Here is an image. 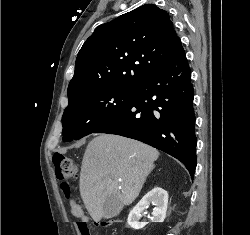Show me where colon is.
Here are the masks:
<instances>
[{
    "label": "colon",
    "instance_id": "1",
    "mask_svg": "<svg viewBox=\"0 0 250 235\" xmlns=\"http://www.w3.org/2000/svg\"><path fill=\"white\" fill-rule=\"evenodd\" d=\"M53 164L55 168L56 178L62 182V189L64 192V198L66 201L71 200L70 188L67 184L68 180L74 179L78 173L77 163L64 155L55 154L53 156ZM81 235H91V226L85 220L77 222Z\"/></svg>",
    "mask_w": 250,
    "mask_h": 235
}]
</instances>
